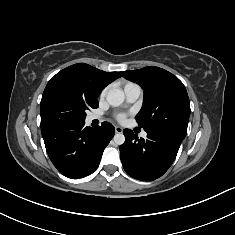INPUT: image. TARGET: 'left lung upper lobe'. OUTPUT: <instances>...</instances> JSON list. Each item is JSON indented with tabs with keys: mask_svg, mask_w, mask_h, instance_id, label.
I'll return each mask as SVG.
<instances>
[{
	"mask_svg": "<svg viewBox=\"0 0 235 235\" xmlns=\"http://www.w3.org/2000/svg\"><path fill=\"white\" fill-rule=\"evenodd\" d=\"M121 75L144 89V101L137 122L145 131L165 132L185 138L190 102L183 83L159 67L121 71Z\"/></svg>",
	"mask_w": 235,
	"mask_h": 235,
	"instance_id": "left-lung-upper-lobe-1",
	"label": "left lung upper lobe"
}]
</instances>
